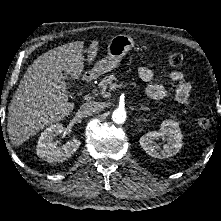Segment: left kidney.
<instances>
[{
    "label": "left kidney",
    "mask_w": 221,
    "mask_h": 221,
    "mask_svg": "<svg viewBox=\"0 0 221 221\" xmlns=\"http://www.w3.org/2000/svg\"><path fill=\"white\" fill-rule=\"evenodd\" d=\"M167 141L160 147L156 141ZM140 145L146 153L158 159H164L176 155L182 148V134L179 124L172 120L162 122L159 131H150L140 138Z\"/></svg>",
    "instance_id": "obj_1"
}]
</instances>
